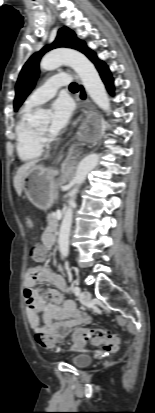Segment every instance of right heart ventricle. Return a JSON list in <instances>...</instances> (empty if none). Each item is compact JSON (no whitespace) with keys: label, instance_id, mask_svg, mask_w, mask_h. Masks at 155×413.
I'll use <instances>...</instances> for the list:
<instances>
[{"label":"right heart ventricle","instance_id":"1","mask_svg":"<svg viewBox=\"0 0 155 413\" xmlns=\"http://www.w3.org/2000/svg\"><path fill=\"white\" fill-rule=\"evenodd\" d=\"M32 108L25 106L15 126L16 151L22 161L38 159L43 154V140L30 123Z\"/></svg>","mask_w":155,"mask_h":413}]
</instances>
